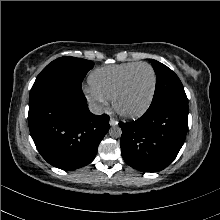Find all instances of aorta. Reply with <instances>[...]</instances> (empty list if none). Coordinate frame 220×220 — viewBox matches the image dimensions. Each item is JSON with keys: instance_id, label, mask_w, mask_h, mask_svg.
Wrapping results in <instances>:
<instances>
[{"instance_id": "obj_1", "label": "aorta", "mask_w": 220, "mask_h": 220, "mask_svg": "<svg viewBox=\"0 0 220 220\" xmlns=\"http://www.w3.org/2000/svg\"><path fill=\"white\" fill-rule=\"evenodd\" d=\"M109 135L112 137V138H119L121 137L122 135V130L119 126H112L109 130Z\"/></svg>"}]
</instances>
